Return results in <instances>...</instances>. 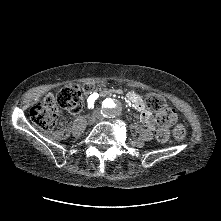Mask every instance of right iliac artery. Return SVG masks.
<instances>
[{"mask_svg":"<svg viewBox=\"0 0 221 221\" xmlns=\"http://www.w3.org/2000/svg\"><path fill=\"white\" fill-rule=\"evenodd\" d=\"M99 97V95L97 94L96 97H94V99L92 101H88V107L89 108H94V101Z\"/></svg>","mask_w":221,"mask_h":221,"instance_id":"1","label":"right iliac artery"}]
</instances>
